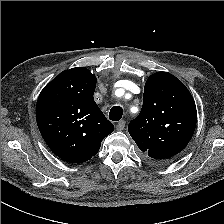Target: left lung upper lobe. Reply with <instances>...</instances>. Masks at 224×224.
Instances as JSON below:
<instances>
[{
	"instance_id": "left-lung-upper-lobe-1",
	"label": "left lung upper lobe",
	"mask_w": 224,
	"mask_h": 224,
	"mask_svg": "<svg viewBox=\"0 0 224 224\" xmlns=\"http://www.w3.org/2000/svg\"><path fill=\"white\" fill-rule=\"evenodd\" d=\"M196 122V105L186 86L170 73L157 72L145 83L142 110L128 131L148 161L166 164L186 147Z\"/></svg>"
}]
</instances>
